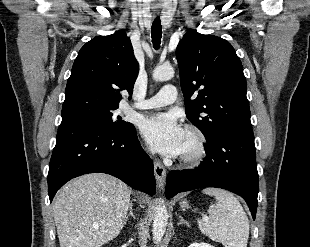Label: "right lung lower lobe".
I'll return each instance as SVG.
<instances>
[{"instance_id":"obj_1","label":"right lung lower lobe","mask_w":310,"mask_h":247,"mask_svg":"<svg viewBox=\"0 0 310 247\" xmlns=\"http://www.w3.org/2000/svg\"><path fill=\"white\" fill-rule=\"evenodd\" d=\"M95 172L113 175L134 189L155 194L153 162L142 149L133 124L122 131L85 123L59 127L48 173L50 202L67 181Z\"/></svg>"}]
</instances>
